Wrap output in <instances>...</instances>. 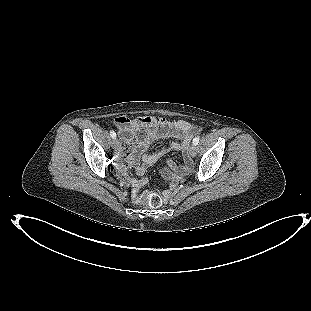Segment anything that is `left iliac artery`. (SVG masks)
I'll return each instance as SVG.
<instances>
[{
	"label": "left iliac artery",
	"instance_id": "1",
	"mask_svg": "<svg viewBox=\"0 0 311 311\" xmlns=\"http://www.w3.org/2000/svg\"><path fill=\"white\" fill-rule=\"evenodd\" d=\"M199 140H200L199 136L195 137V138L193 139V144H194V145H197V144L199 143Z\"/></svg>",
	"mask_w": 311,
	"mask_h": 311
}]
</instances>
